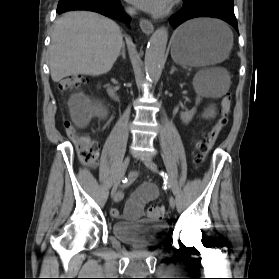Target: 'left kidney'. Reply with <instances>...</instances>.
<instances>
[{
	"mask_svg": "<svg viewBox=\"0 0 279 279\" xmlns=\"http://www.w3.org/2000/svg\"><path fill=\"white\" fill-rule=\"evenodd\" d=\"M193 85H194V88H195L196 93H197L196 105H198L200 103V101H201V97H200V94L198 92V88H197L195 82H193ZM195 113H196V108H194V109H192L190 111H187V112H181L180 113V118H181L183 123L188 124L192 120V118L195 115Z\"/></svg>",
	"mask_w": 279,
	"mask_h": 279,
	"instance_id": "left-kidney-1",
	"label": "left kidney"
}]
</instances>
